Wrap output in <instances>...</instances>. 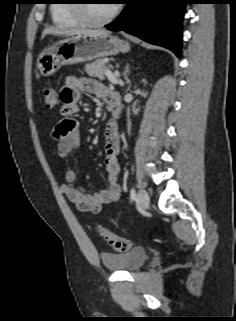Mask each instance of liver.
Instances as JSON below:
<instances>
[{
    "instance_id": "1",
    "label": "liver",
    "mask_w": 236,
    "mask_h": 321,
    "mask_svg": "<svg viewBox=\"0 0 236 321\" xmlns=\"http://www.w3.org/2000/svg\"><path fill=\"white\" fill-rule=\"evenodd\" d=\"M110 31L104 30V29H96V30H92V29H72V30H67V31H63L54 27H47L46 29H44L43 33H42V38H44L46 35L48 34H52V35H76V34H84V35H89V36H93V37H98V36H102V35H110Z\"/></svg>"
}]
</instances>
